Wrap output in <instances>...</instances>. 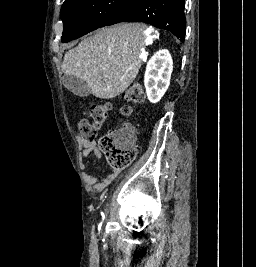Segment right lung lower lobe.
<instances>
[{
	"mask_svg": "<svg viewBox=\"0 0 256 267\" xmlns=\"http://www.w3.org/2000/svg\"><path fill=\"white\" fill-rule=\"evenodd\" d=\"M185 0H138L125 15L115 18L108 25L119 22H144L165 29L185 40Z\"/></svg>",
	"mask_w": 256,
	"mask_h": 267,
	"instance_id": "right-lung-lower-lobe-1",
	"label": "right lung lower lobe"
}]
</instances>
